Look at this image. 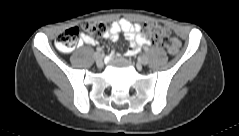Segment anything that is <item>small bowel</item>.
<instances>
[{
	"instance_id": "obj_1",
	"label": "small bowel",
	"mask_w": 239,
	"mask_h": 136,
	"mask_svg": "<svg viewBox=\"0 0 239 136\" xmlns=\"http://www.w3.org/2000/svg\"><path fill=\"white\" fill-rule=\"evenodd\" d=\"M120 33H123L130 43V48L127 51L128 56L135 55L143 46L151 44L149 38L141 32V26L137 23H132L127 19H119L113 22L109 26L108 31L104 34V37L115 42L118 40ZM82 42L89 45H95L98 41L83 34Z\"/></svg>"
}]
</instances>
